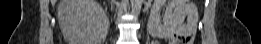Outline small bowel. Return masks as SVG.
I'll return each mask as SVG.
<instances>
[{"label":"small bowel","mask_w":261,"mask_h":44,"mask_svg":"<svg viewBox=\"0 0 261 44\" xmlns=\"http://www.w3.org/2000/svg\"><path fill=\"white\" fill-rule=\"evenodd\" d=\"M163 6L162 0L154 2L149 18L151 34L159 40L175 39L180 37L183 44H191L198 23L197 5L191 1L174 0L165 8L163 23H160V11ZM186 21V23H185Z\"/></svg>","instance_id":"small-bowel-1"}]
</instances>
